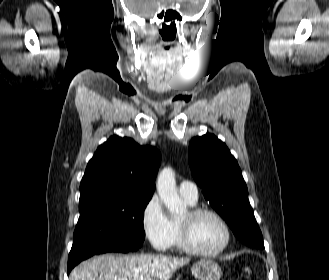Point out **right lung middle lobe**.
<instances>
[{
    "instance_id": "obj_1",
    "label": "right lung middle lobe",
    "mask_w": 329,
    "mask_h": 280,
    "mask_svg": "<svg viewBox=\"0 0 329 280\" xmlns=\"http://www.w3.org/2000/svg\"><path fill=\"white\" fill-rule=\"evenodd\" d=\"M150 199L149 196H120L80 203L68 265L101 245L139 249L145 238L143 214Z\"/></svg>"
}]
</instances>
